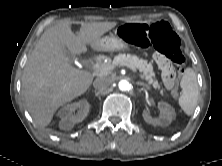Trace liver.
Listing matches in <instances>:
<instances>
[{
  "label": "liver",
  "mask_w": 222,
  "mask_h": 166,
  "mask_svg": "<svg viewBox=\"0 0 222 166\" xmlns=\"http://www.w3.org/2000/svg\"><path fill=\"white\" fill-rule=\"evenodd\" d=\"M117 25L116 22L83 23L76 36L68 20L48 28L28 58L22 78L26 107L37 125L50 124L54 113L63 104L86 92L93 75L73 67L64 49L73 54L96 47L100 38Z\"/></svg>",
  "instance_id": "6515ba94"
}]
</instances>
